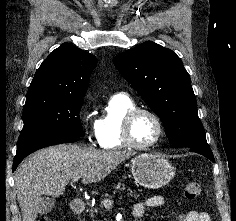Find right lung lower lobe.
<instances>
[{
  "label": "right lung lower lobe",
  "mask_w": 236,
  "mask_h": 221,
  "mask_svg": "<svg viewBox=\"0 0 236 221\" xmlns=\"http://www.w3.org/2000/svg\"><path fill=\"white\" fill-rule=\"evenodd\" d=\"M77 141L76 137L64 135H43L18 142L16 156L13 161V172L18 164L30 153L46 146Z\"/></svg>",
  "instance_id": "1"
}]
</instances>
